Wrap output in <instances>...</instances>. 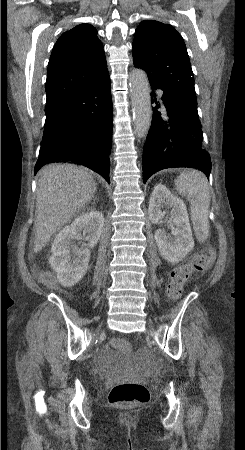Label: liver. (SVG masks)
Wrapping results in <instances>:
<instances>
[{
  "instance_id": "liver-1",
  "label": "liver",
  "mask_w": 245,
  "mask_h": 450,
  "mask_svg": "<svg viewBox=\"0 0 245 450\" xmlns=\"http://www.w3.org/2000/svg\"><path fill=\"white\" fill-rule=\"evenodd\" d=\"M96 182L85 170L71 164H53L39 172L35 212L34 252L91 201Z\"/></svg>"
}]
</instances>
